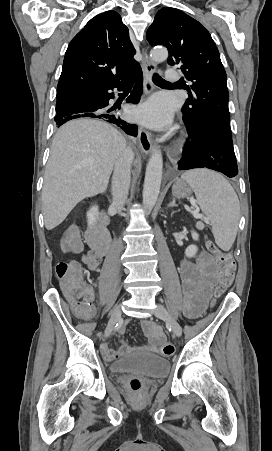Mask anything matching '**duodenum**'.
<instances>
[{
	"mask_svg": "<svg viewBox=\"0 0 272 451\" xmlns=\"http://www.w3.org/2000/svg\"><path fill=\"white\" fill-rule=\"evenodd\" d=\"M107 225V217L101 216L87 228L85 235L87 244L100 256H104L111 246V235Z\"/></svg>",
	"mask_w": 272,
	"mask_h": 451,
	"instance_id": "410a0bca",
	"label": "duodenum"
}]
</instances>
